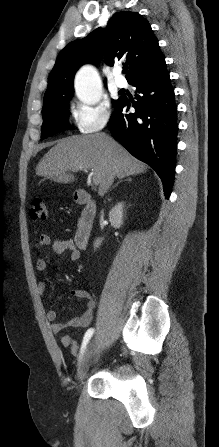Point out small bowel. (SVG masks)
<instances>
[{"instance_id":"1","label":"small bowel","mask_w":219,"mask_h":447,"mask_svg":"<svg viewBox=\"0 0 219 447\" xmlns=\"http://www.w3.org/2000/svg\"><path fill=\"white\" fill-rule=\"evenodd\" d=\"M36 246L38 248L51 247L52 250L58 254L69 252V258L71 261H78L80 259V251L75 242L70 238L52 240L51 236L42 234L40 235ZM46 267L47 262L44 259H39L36 262L37 271L43 272ZM46 289V281L41 280L38 283V291L40 293H44ZM69 295L73 298L86 300L84 312L82 315L75 317L66 323H61L57 321V312L54 309L47 310L46 319L50 322V329L53 333H59L65 328H85L92 321L95 301L91 297L90 293L84 288H73L69 291ZM60 339L62 345L68 347L73 355L78 353L79 346L71 339L69 335H62Z\"/></svg>"}]
</instances>
